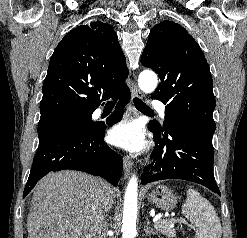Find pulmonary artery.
Returning <instances> with one entry per match:
<instances>
[{
  "label": "pulmonary artery",
  "instance_id": "pulmonary-artery-1",
  "mask_svg": "<svg viewBox=\"0 0 247 238\" xmlns=\"http://www.w3.org/2000/svg\"><path fill=\"white\" fill-rule=\"evenodd\" d=\"M153 107L159 112V114L164 117L166 113L165 105L160 101H153L152 102ZM98 114L101 113V110H98Z\"/></svg>",
  "mask_w": 247,
  "mask_h": 238
}]
</instances>
